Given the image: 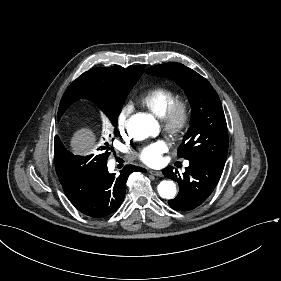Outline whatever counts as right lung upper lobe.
I'll list each match as a JSON object with an SVG mask.
<instances>
[{
	"label": "right lung upper lobe",
	"instance_id": "right-lung-upper-lobe-1",
	"mask_svg": "<svg viewBox=\"0 0 281 281\" xmlns=\"http://www.w3.org/2000/svg\"><path fill=\"white\" fill-rule=\"evenodd\" d=\"M144 68L143 65H132L127 68L101 67L83 73L64 93L59 105L58 117L72 102L80 98L90 99L97 105L125 101L128 93L143 74Z\"/></svg>",
	"mask_w": 281,
	"mask_h": 281
}]
</instances>
